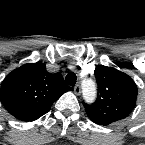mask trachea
<instances>
[{
  "label": "trachea",
  "mask_w": 145,
  "mask_h": 145,
  "mask_svg": "<svg viewBox=\"0 0 145 145\" xmlns=\"http://www.w3.org/2000/svg\"><path fill=\"white\" fill-rule=\"evenodd\" d=\"M76 79L77 77L73 72L68 73L65 78L66 83L70 86H74L76 84Z\"/></svg>",
  "instance_id": "3493384b"
}]
</instances>
